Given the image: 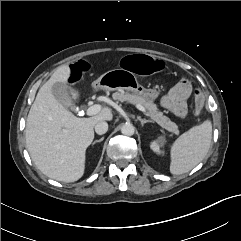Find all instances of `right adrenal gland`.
<instances>
[{
  "instance_id": "right-adrenal-gland-1",
  "label": "right adrenal gland",
  "mask_w": 241,
  "mask_h": 241,
  "mask_svg": "<svg viewBox=\"0 0 241 241\" xmlns=\"http://www.w3.org/2000/svg\"><path fill=\"white\" fill-rule=\"evenodd\" d=\"M104 140V137H102L101 139H99V140H95L92 144L94 145V144H96V143H98V142H102Z\"/></svg>"
}]
</instances>
